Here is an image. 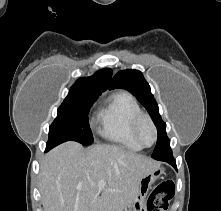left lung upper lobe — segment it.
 Listing matches in <instances>:
<instances>
[{
    "instance_id": "left-lung-upper-lobe-1",
    "label": "left lung upper lobe",
    "mask_w": 221,
    "mask_h": 211,
    "mask_svg": "<svg viewBox=\"0 0 221 211\" xmlns=\"http://www.w3.org/2000/svg\"><path fill=\"white\" fill-rule=\"evenodd\" d=\"M112 89L124 88L137 97L140 103L149 112L155 126L157 127L158 139L156 147L151 155L156 160L172 156L170 140L166 134V124L161 119L159 108L151 94L150 86L138 70H122L118 72L112 81Z\"/></svg>"
}]
</instances>
